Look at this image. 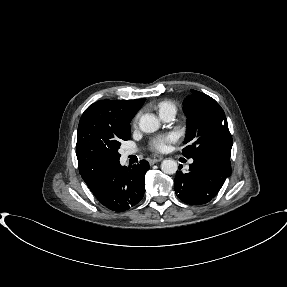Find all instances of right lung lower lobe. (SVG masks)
<instances>
[{"label": "right lung lower lobe", "instance_id": "right-lung-lower-lobe-1", "mask_svg": "<svg viewBox=\"0 0 287 287\" xmlns=\"http://www.w3.org/2000/svg\"><path fill=\"white\" fill-rule=\"evenodd\" d=\"M149 168V163L145 160L128 168L121 166L118 161L104 167L88 187L107 209L123 212L143 198L144 177Z\"/></svg>", "mask_w": 287, "mask_h": 287}]
</instances>
